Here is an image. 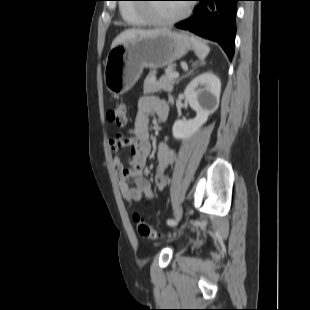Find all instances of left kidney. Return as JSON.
Listing matches in <instances>:
<instances>
[{
  "instance_id": "obj_1",
  "label": "left kidney",
  "mask_w": 310,
  "mask_h": 310,
  "mask_svg": "<svg viewBox=\"0 0 310 310\" xmlns=\"http://www.w3.org/2000/svg\"><path fill=\"white\" fill-rule=\"evenodd\" d=\"M220 92L221 81L213 73L206 72L194 78L186 87L184 95L197 115L191 120L175 121L173 137L179 140L191 138L217 109Z\"/></svg>"
}]
</instances>
